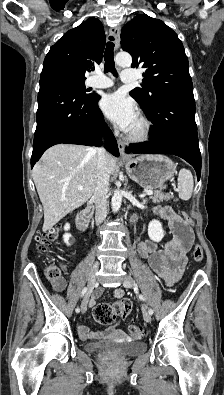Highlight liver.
Here are the masks:
<instances>
[{"label": "liver", "instance_id": "6515ba94", "mask_svg": "<svg viewBox=\"0 0 224 395\" xmlns=\"http://www.w3.org/2000/svg\"><path fill=\"white\" fill-rule=\"evenodd\" d=\"M112 174L116 159L107 154ZM97 151L80 145L59 144L49 148L35 164L32 177L43 205V232L87 202L94 193ZM82 186L83 190H78Z\"/></svg>", "mask_w": 224, "mask_h": 395}]
</instances>
